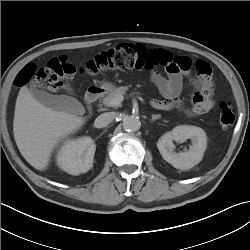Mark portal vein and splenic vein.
I'll use <instances>...</instances> for the list:
<instances>
[{"mask_svg":"<svg viewBox=\"0 0 250 250\" xmlns=\"http://www.w3.org/2000/svg\"><path fill=\"white\" fill-rule=\"evenodd\" d=\"M124 100V97L122 96V95H117V96H115L114 98H113V100H112V104L113 105H119V104H121L122 103V101Z\"/></svg>","mask_w":250,"mask_h":250,"instance_id":"18ae733b","label":"portal vein and splenic vein"}]
</instances>
